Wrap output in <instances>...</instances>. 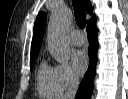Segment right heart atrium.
I'll return each instance as SVG.
<instances>
[{
	"label": "right heart atrium",
	"instance_id": "right-heart-atrium-1",
	"mask_svg": "<svg viewBox=\"0 0 128 99\" xmlns=\"http://www.w3.org/2000/svg\"><path fill=\"white\" fill-rule=\"evenodd\" d=\"M53 69L56 82L62 92L77 86L78 76L68 64H58Z\"/></svg>",
	"mask_w": 128,
	"mask_h": 99
}]
</instances>
